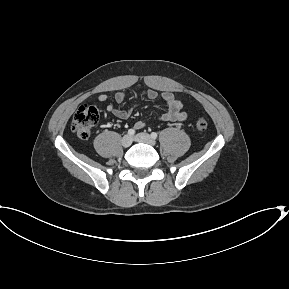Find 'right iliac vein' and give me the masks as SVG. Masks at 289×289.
<instances>
[{"label": "right iliac vein", "instance_id": "63e3f726", "mask_svg": "<svg viewBox=\"0 0 289 289\" xmlns=\"http://www.w3.org/2000/svg\"><path fill=\"white\" fill-rule=\"evenodd\" d=\"M121 144L123 147L127 148L129 146H131L132 144V137L129 135H125L122 140H121Z\"/></svg>", "mask_w": 289, "mask_h": 289}]
</instances>
